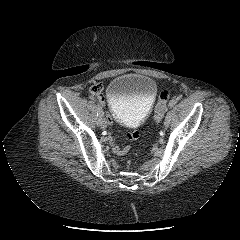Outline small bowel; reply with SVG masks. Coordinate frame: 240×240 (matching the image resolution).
<instances>
[{
    "mask_svg": "<svg viewBox=\"0 0 240 240\" xmlns=\"http://www.w3.org/2000/svg\"><path fill=\"white\" fill-rule=\"evenodd\" d=\"M98 101L100 103H103L105 101V96L103 94H100L98 96ZM102 112L105 114V115H108L110 113V109L107 107V106H104L102 108ZM106 121H107V127L109 129H112L114 127V118L111 116V115H108L106 117ZM140 138V133L138 131H128L126 133V139L128 141H133V140H138ZM112 142V141H111ZM129 146H125V147H121V146H117L115 145L113 147V152L117 155H122V154H125L128 152L129 150Z\"/></svg>",
    "mask_w": 240,
    "mask_h": 240,
    "instance_id": "obj_1",
    "label": "small bowel"
}]
</instances>
